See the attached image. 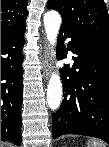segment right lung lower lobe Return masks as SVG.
Segmentation results:
<instances>
[{
	"instance_id": "1",
	"label": "right lung lower lobe",
	"mask_w": 109,
	"mask_h": 147,
	"mask_svg": "<svg viewBox=\"0 0 109 147\" xmlns=\"http://www.w3.org/2000/svg\"><path fill=\"white\" fill-rule=\"evenodd\" d=\"M1 37V140L20 145L24 32Z\"/></svg>"
}]
</instances>
